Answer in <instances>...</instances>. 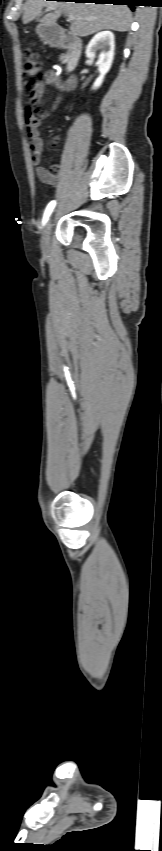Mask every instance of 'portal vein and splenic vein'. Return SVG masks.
Wrapping results in <instances>:
<instances>
[{"label": "portal vein and splenic vein", "mask_w": 162, "mask_h": 851, "mask_svg": "<svg viewBox=\"0 0 162 851\" xmlns=\"http://www.w3.org/2000/svg\"><path fill=\"white\" fill-rule=\"evenodd\" d=\"M49 9H51V8H49ZM69 19L72 21V20L75 19V17L73 15H69Z\"/></svg>", "instance_id": "1"}]
</instances>
